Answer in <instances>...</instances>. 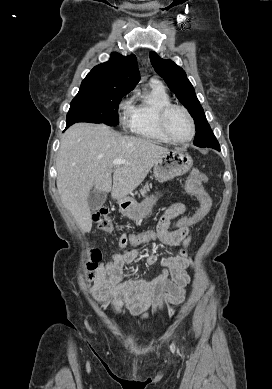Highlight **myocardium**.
Wrapping results in <instances>:
<instances>
[{
  "label": "myocardium",
  "mask_w": 272,
  "mask_h": 389,
  "mask_svg": "<svg viewBox=\"0 0 272 389\" xmlns=\"http://www.w3.org/2000/svg\"><path fill=\"white\" fill-rule=\"evenodd\" d=\"M173 110H181L189 120V123L191 126V135L187 139L179 140V139L174 138L168 129V126H167L168 116ZM158 124H159V128H160L161 132L172 143H176V144L188 143L194 138V136L196 134V125H195V122H194V119H193L191 113L189 112V110L186 107L179 105V104L170 103V104L164 106L161 109V111L159 112Z\"/></svg>",
  "instance_id": "f54148a6"
}]
</instances>
